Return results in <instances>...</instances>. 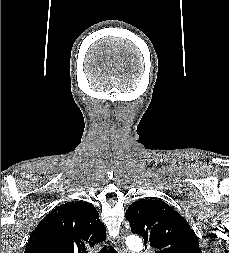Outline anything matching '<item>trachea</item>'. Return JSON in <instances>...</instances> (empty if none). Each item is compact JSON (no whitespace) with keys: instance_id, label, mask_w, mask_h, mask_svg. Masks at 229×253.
Returning a JSON list of instances; mask_svg holds the SVG:
<instances>
[{"instance_id":"trachea-1","label":"trachea","mask_w":229,"mask_h":253,"mask_svg":"<svg viewBox=\"0 0 229 253\" xmlns=\"http://www.w3.org/2000/svg\"><path fill=\"white\" fill-rule=\"evenodd\" d=\"M99 253H117V251L111 246L107 247L106 245L100 250Z\"/></svg>"}]
</instances>
